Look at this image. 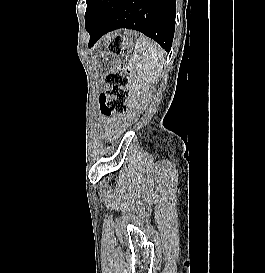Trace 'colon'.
Segmentation results:
<instances>
[{"mask_svg":"<svg viewBox=\"0 0 265 273\" xmlns=\"http://www.w3.org/2000/svg\"><path fill=\"white\" fill-rule=\"evenodd\" d=\"M123 37L115 36L110 45L109 51L118 54L124 48ZM132 70L124 63H118L115 70L109 72L105 77L108 86L106 92L99 95L100 111L104 116H116L127 111L128 84Z\"/></svg>","mask_w":265,"mask_h":273,"instance_id":"5ec220e1","label":"colon"}]
</instances>
